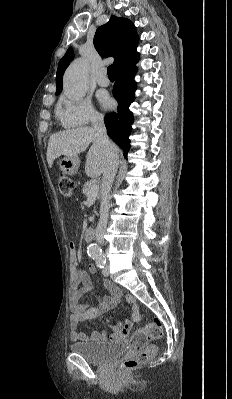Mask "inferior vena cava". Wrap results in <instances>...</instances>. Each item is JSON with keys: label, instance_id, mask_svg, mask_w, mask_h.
I'll return each mask as SVG.
<instances>
[{"label": "inferior vena cava", "instance_id": "602c4592", "mask_svg": "<svg viewBox=\"0 0 232 399\" xmlns=\"http://www.w3.org/2000/svg\"><path fill=\"white\" fill-rule=\"evenodd\" d=\"M91 122L100 144H103L106 148L107 166L102 178L100 219L96 227V239L98 243H104V231L106 229L110 209V192L117 174L119 160L116 152L113 150V144L107 136L103 116H100V114H93V116H91Z\"/></svg>", "mask_w": 232, "mask_h": 399}]
</instances>
